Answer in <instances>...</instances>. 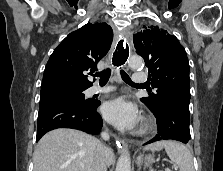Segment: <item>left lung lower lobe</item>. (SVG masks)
Wrapping results in <instances>:
<instances>
[{"mask_svg": "<svg viewBox=\"0 0 223 171\" xmlns=\"http://www.w3.org/2000/svg\"><path fill=\"white\" fill-rule=\"evenodd\" d=\"M154 115L157 118L158 134L145 144L160 140H177L183 143L190 141L188 108L168 101Z\"/></svg>", "mask_w": 223, "mask_h": 171, "instance_id": "1", "label": "left lung lower lobe"}]
</instances>
